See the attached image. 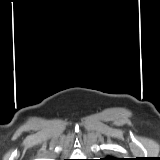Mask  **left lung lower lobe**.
Here are the masks:
<instances>
[{"label":"left lung lower lobe","instance_id":"left-lung-lower-lobe-1","mask_svg":"<svg viewBox=\"0 0 160 160\" xmlns=\"http://www.w3.org/2000/svg\"><path fill=\"white\" fill-rule=\"evenodd\" d=\"M103 160H116V158H105Z\"/></svg>","mask_w":160,"mask_h":160}]
</instances>
